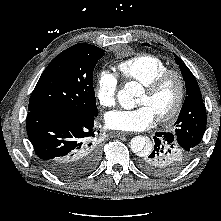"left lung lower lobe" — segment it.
I'll list each match as a JSON object with an SVG mask.
<instances>
[{
  "label": "left lung lower lobe",
  "instance_id": "left-lung-lower-lobe-1",
  "mask_svg": "<svg viewBox=\"0 0 221 221\" xmlns=\"http://www.w3.org/2000/svg\"><path fill=\"white\" fill-rule=\"evenodd\" d=\"M154 148L143 155L139 168L158 177L171 176L185 168L196 150H190L177 135L171 132H156Z\"/></svg>",
  "mask_w": 221,
  "mask_h": 221
}]
</instances>
